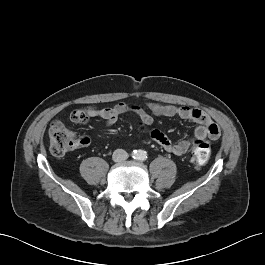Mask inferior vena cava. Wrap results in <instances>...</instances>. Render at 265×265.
<instances>
[{
	"label": "inferior vena cava",
	"mask_w": 265,
	"mask_h": 265,
	"mask_svg": "<svg viewBox=\"0 0 265 265\" xmlns=\"http://www.w3.org/2000/svg\"><path fill=\"white\" fill-rule=\"evenodd\" d=\"M112 158L115 162H121L128 158V153L123 149H116L113 152Z\"/></svg>",
	"instance_id": "obj_1"
}]
</instances>
